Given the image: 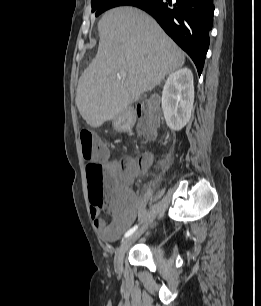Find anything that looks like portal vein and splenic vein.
<instances>
[{
    "instance_id": "obj_1",
    "label": "portal vein and splenic vein",
    "mask_w": 261,
    "mask_h": 306,
    "mask_svg": "<svg viewBox=\"0 0 261 306\" xmlns=\"http://www.w3.org/2000/svg\"><path fill=\"white\" fill-rule=\"evenodd\" d=\"M121 75H125V74H121ZM121 75H120V74H118V78H120V77H121Z\"/></svg>"
}]
</instances>
